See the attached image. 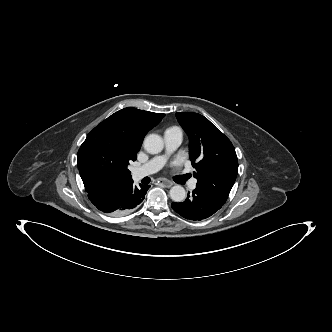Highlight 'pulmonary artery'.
Returning <instances> with one entry per match:
<instances>
[{
    "label": "pulmonary artery",
    "mask_w": 332,
    "mask_h": 332,
    "mask_svg": "<svg viewBox=\"0 0 332 332\" xmlns=\"http://www.w3.org/2000/svg\"><path fill=\"white\" fill-rule=\"evenodd\" d=\"M164 140L167 153H171L179 147L182 142V133L179 129H171L165 132ZM165 156H156L144 165L136 168L133 171V178L135 180L141 179L148 175L157 172L164 164ZM190 189L196 188V180H192L189 184Z\"/></svg>",
    "instance_id": "e3ab8cb5"
}]
</instances>
